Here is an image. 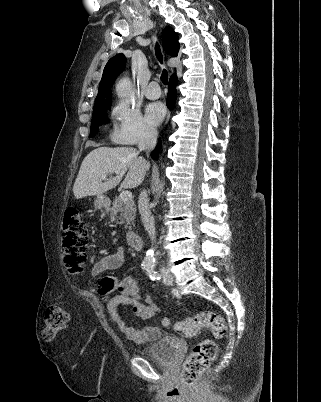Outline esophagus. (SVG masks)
Instances as JSON below:
<instances>
[{
    "label": "esophagus",
    "mask_w": 321,
    "mask_h": 402,
    "mask_svg": "<svg viewBox=\"0 0 321 402\" xmlns=\"http://www.w3.org/2000/svg\"><path fill=\"white\" fill-rule=\"evenodd\" d=\"M169 118H170V113L168 114V116H167V120H166V122H168L169 121Z\"/></svg>",
    "instance_id": "1"
}]
</instances>
